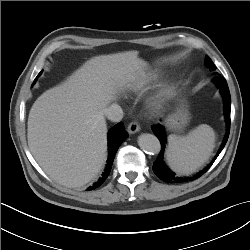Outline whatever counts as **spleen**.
I'll return each instance as SVG.
<instances>
[{
  "instance_id": "3e777b00",
  "label": "spleen",
  "mask_w": 250,
  "mask_h": 250,
  "mask_svg": "<svg viewBox=\"0 0 250 250\" xmlns=\"http://www.w3.org/2000/svg\"><path fill=\"white\" fill-rule=\"evenodd\" d=\"M216 141V134L209 125L201 124L187 136L169 135L167 161L177 173H194L210 158Z\"/></svg>"
}]
</instances>
